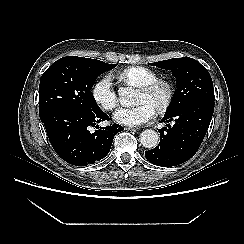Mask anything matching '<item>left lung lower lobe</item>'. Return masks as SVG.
I'll use <instances>...</instances> for the list:
<instances>
[{
  "instance_id": "obj_1",
  "label": "left lung lower lobe",
  "mask_w": 244,
  "mask_h": 244,
  "mask_svg": "<svg viewBox=\"0 0 244 244\" xmlns=\"http://www.w3.org/2000/svg\"><path fill=\"white\" fill-rule=\"evenodd\" d=\"M214 112V102L193 101L171 113L162 122L173 126L159 129L160 143L145 152L146 159L157 166H176L189 160L199 149Z\"/></svg>"
}]
</instances>
